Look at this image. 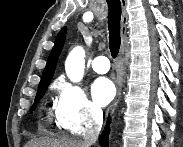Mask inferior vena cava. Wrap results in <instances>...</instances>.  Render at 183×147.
<instances>
[{
	"label": "inferior vena cava",
	"mask_w": 183,
	"mask_h": 147,
	"mask_svg": "<svg viewBox=\"0 0 183 147\" xmlns=\"http://www.w3.org/2000/svg\"><path fill=\"white\" fill-rule=\"evenodd\" d=\"M103 123V112L101 109L94 110L93 121L84 131L83 139L86 147H90L97 141Z\"/></svg>",
	"instance_id": "1"
}]
</instances>
